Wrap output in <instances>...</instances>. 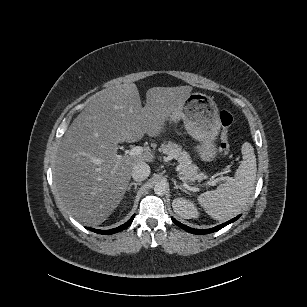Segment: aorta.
<instances>
[{
  "label": "aorta",
  "mask_w": 307,
  "mask_h": 307,
  "mask_svg": "<svg viewBox=\"0 0 307 307\" xmlns=\"http://www.w3.org/2000/svg\"><path fill=\"white\" fill-rule=\"evenodd\" d=\"M154 192L155 194L162 196L167 192V186L165 185V183H157L154 186Z\"/></svg>",
  "instance_id": "1"
}]
</instances>
